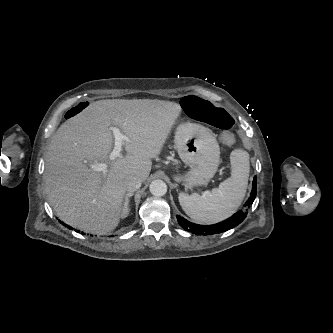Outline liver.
<instances>
[{
  "label": "liver",
  "instance_id": "6515ba94",
  "mask_svg": "<svg viewBox=\"0 0 333 333\" xmlns=\"http://www.w3.org/2000/svg\"><path fill=\"white\" fill-rule=\"evenodd\" d=\"M181 106L151 99H106L90 103L62 124L51 138L45 163V185L57 216L74 228L94 234L113 231L122 216L124 181H145L180 115ZM118 126L130 139L126 155L110 160ZM104 161L106 175L88 163Z\"/></svg>",
  "mask_w": 333,
  "mask_h": 333
}]
</instances>
